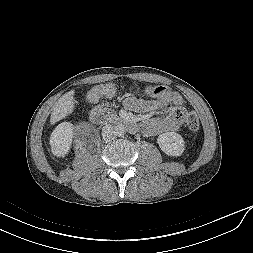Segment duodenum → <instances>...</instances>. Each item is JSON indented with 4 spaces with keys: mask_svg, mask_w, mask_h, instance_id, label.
I'll return each instance as SVG.
<instances>
[{
    "mask_svg": "<svg viewBox=\"0 0 253 253\" xmlns=\"http://www.w3.org/2000/svg\"><path fill=\"white\" fill-rule=\"evenodd\" d=\"M105 117V111L100 106H95L90 112V120L93 123H100ZM116 122L128 127L131 131L135 132L139 129V126L135 120L129 117H121L116 119Z\"/></svg>",
    "mask_w": 253,
    "mask_h": 253,
    "instance_id": "obj_1",
    "label": "duodenum"
}]
</instances>
